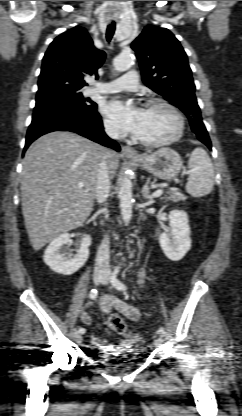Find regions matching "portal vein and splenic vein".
<instances>
[{
	"mask_svg": "<svg viewBox=\"0 0 242 416\" xmlns=\"http://www.w3.org/2000/svg\"><path fill=\"white\" fill-rule=\"evenodd\" d=\"M82 186H83L82 184H79V187H82ZM162 194H163V190L158 189L152 194V197L157 198V197H160Z\"/></svg>",
	"mask_w": 242,
	"mask_h": 416,
	"instance_id": "18ae733b",
	"label": "portal vein and splenic vein"
}]
</instances>
